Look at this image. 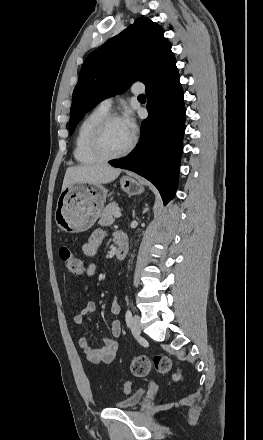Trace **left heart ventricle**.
I'll return each instance as SVG.
<instances>
[{
  "label": "left heart ventricle",
  "instance_id": "left-heart-ventricle-1",
  "mask_svg": "<svg viewBox=\"0 0 263 440\" xmlns=\"http://www.w3.org/2000/svg\"><path fill=\"white\" fill-rule=\"evenodd\" d=\"M130 139L131 134L125 128L122 120L111 122L103 135L105 149L110 153H117L124 149Z\"/></svg>",
  "mask_w": 263,
  "mask_h": 440
}]
</instances>
